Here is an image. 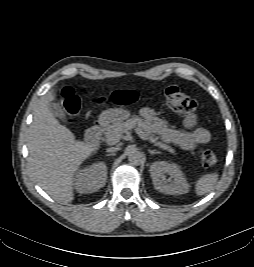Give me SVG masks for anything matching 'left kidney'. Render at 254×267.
I'll use <instances>...</instances> for the list:
<instances>
[{"mask_svg": "<svg viewBox=\"0 0 254 267\" xmlns=\"http://www.w3.org/2000/svg\"><path fill=\"white\" fill-rule=\"evenodd\" d=\"M150 174L154 188L159 192L181 195L189 191L190 186L180 167L175 163L156 161L150 166ZM166 175L170 176L169 179H166Z\"/></svg>", "mask_w": 254, "mask_h": 267, "instance_id": "left-kidney-1", "label": "left kidney"}]
</instances>
